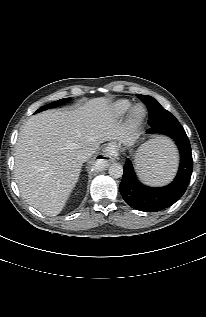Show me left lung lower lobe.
<instances>
[{"mask_svg":"<svg viewBox=\"0 0 206 317\" xmlns=\"http://www.w3.org/2000/svg\"><path fill=\"white\" fill-rule=\"evenodd\" d=\"M159 133L175 141L180 152V167L171 184L161 188H151L137 180L131 160L126 159L120 193L129 206L140 211L157 212L174 204L185 193L192 174L191 147L185 131L165 130Z\"/></svg>","mask_w":206,"mask_h":317,"instance_id":"obj_1","label":"left lung lower lobe"}]
</instances>
